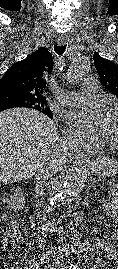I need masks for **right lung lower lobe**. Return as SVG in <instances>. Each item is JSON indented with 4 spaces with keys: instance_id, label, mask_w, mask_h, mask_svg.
<instances>
[{
    "instance_id": "98d812e1",
    "label": "right lung lower lobe",
    "mask_w": 118,
    "mask_h": 269,
    "mask_svg": "<svg viewBox=\"0 0 118 269\" xmlns=\"http://www.w3.org/2000/svg\"><path fill=\"white\" fill-rule=\"evenodd\" d=\"M9 108H13V107L0 108V111H3V110H5V109H9Z\"/></svg>"
}]
</instances>
